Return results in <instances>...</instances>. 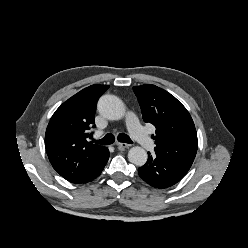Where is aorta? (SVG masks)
Wrapping results in <instances>:
<instances>
[{
    "instance_id": "aorta-1",
    "label": "aorta",
    "mask_w": 248,
    "mask_h": 248,
    "mask_svg": "<svg viewBox=\"0 0 248 248\" xmlns=\"http://www.w3.org/2000/svg\"><path fill=\"white\" fill-rule=\"evenodd\" d=\"M99 113L109 120H120L125 113L123 102L114 95L102 96L97 104ZM147 152L139 147H132L128 152V159L137 166H143L147 161Z\"/></svg>"
}]
</instances>
